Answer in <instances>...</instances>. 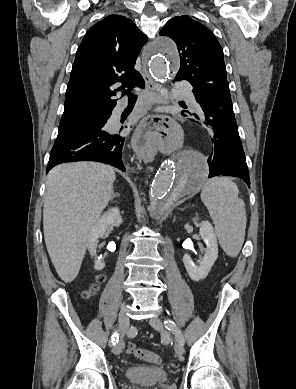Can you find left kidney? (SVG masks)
I'll return each instance as SVG.
<instances>
[{"instance_id": "left-kidney-1", "label": "left kidney", "mask_w": 296, "mask_h": 389, "mask_svg": "<svg viewBox=\"0 0 296 389\" xmlns=\"http://www.w3.org/2000/svg\"><path fill=\"white\" fill-rule=\"evenodd\" d=\"M198 218H193L197 221ZM199 235L206 243V250L203 259L199 264H195L188 254L183 256V263L189 277L193 281H200L207 277L214 262L218 258V244L212 225L208 221H202L200 224Z\"/></svg>"}]
</instances>
